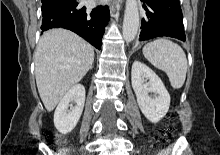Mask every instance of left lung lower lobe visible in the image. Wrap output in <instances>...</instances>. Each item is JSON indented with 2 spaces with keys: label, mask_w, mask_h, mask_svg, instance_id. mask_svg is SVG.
Listing matches in <instances>:
<instances>
[{
  "label": "left lung lower lobe",
  "mask_w": 220,
  "mask_h": 155,
  "mask_svg": "<svg viewBox=\"0 0 220 155\" xmlns=\"http://www.w3.org/2000/svg\"><path fill=\"white\" fill-rule=\"evenodd\" d=\"M145 16L140 41L167 36L186 40L179 0H142Z\"/></svg>",
  "instance_id": "obj_1"
}]
</instances>
